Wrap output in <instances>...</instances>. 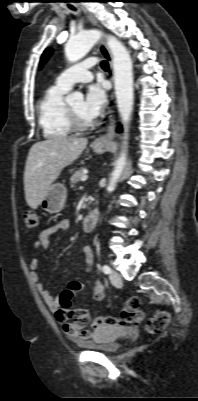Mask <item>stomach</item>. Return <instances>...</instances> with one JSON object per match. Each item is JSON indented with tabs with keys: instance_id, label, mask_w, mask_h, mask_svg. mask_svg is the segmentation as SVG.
I'll return each instance as SVG.
<instances>
[{
	"instance_id": "stomach-1",
	"label": "stomach",
	"mask_w": 198,
	"mask_h": 401,
	"mask_svg": "<svg viewBox=\"0 0 198 401\" xmlns=\"http://www.w3.org/2000/svg\"><path fill=\"white\" fill-rule=\"evenodd\" d=\"M91 147L96 153H103L107 148V144L94 142ZM66 198V187L61 183H55L50 186L46 196L40 202V206L48 213H58L64 208Z\"/></svg>"
}]
</instances>
